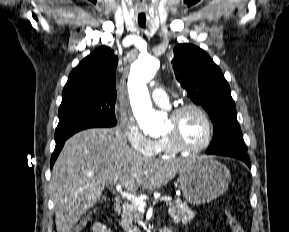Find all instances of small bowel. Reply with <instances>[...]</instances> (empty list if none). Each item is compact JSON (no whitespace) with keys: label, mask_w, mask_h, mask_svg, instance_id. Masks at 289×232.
<instances>
[{"label":"small bowel","mask_w":289,"mask_h":232,"mask_svg":"<svg viewBox=\"0 0 289 232\" xmlns=\"http://www.w3.org/2000/svg\"><path fill=\"white\" fill-rule=\"evenodd\" d=\"M166 228V227H165ZM168 232H173L170 228H166ZM91 232H111V230L102 222H94L90 226Z\"/></svg>","instance_id":"c3829d8e"}]
</instances>
